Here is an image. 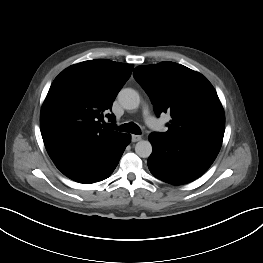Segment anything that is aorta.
<instances>
[{
    "label": "aorta",
    "instance_id": "aorta-1",
    "mask_svg": "<svg viewBox=\"0 0 263 263\" xmlns=\"http://www.w3.org/2000/svg\"><path fill=\"white\" fill-rule=\"evenodd\" d=\"M120 104L128 110L136 109L140 104L139 94L131 88H124L118 93ZM135 152L141 158H148L152 154V145L149 141L141 140L135 145Z\"/></svg>",
    "mask_w": 263,
    "mask_h": 263
}]
</instances>
